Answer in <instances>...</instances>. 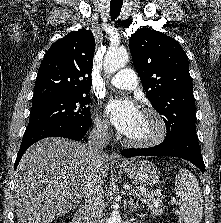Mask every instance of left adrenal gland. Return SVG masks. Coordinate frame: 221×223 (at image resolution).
<instances>
[{"label":"left adrenal gland","instance_id":"left-adrenal-gland-1","mask_svg":"<svg viewBox=\"0 0 221 223\" xmlns=\"http://www.w3.org/2000/svg\"><path fill=\"white\" fill-rule=\"evenodd\" d=\"M129 207H130V210H131L132 212H134L137 208H141V205H139L138 202L133 203V200L130 199V200H129Z\"/></svg>","mask_w":221,"mask_h":223}]
</instances>
